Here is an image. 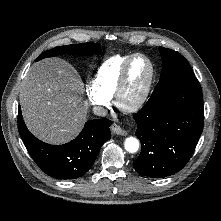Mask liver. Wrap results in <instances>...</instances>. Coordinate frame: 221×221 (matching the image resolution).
Segmentation results:
<instances>
[{
    "mask_svg": "<svg viewBox=\"0 0 221 221\" xmlns=\"http://www.w3.org/2000/svg\"><path fill=\"white\" fill-rule=\"evenodd\" d=\"M84 84L76 69L60 58L34 64L20 88L26 126L40 140L64 144L74 139L87 120Z\"/></svg>",
    "mask_w": 221,
    "mask_h": 221,
    "instance_id": "1",
    "label": "liver"
}]
</instances>
